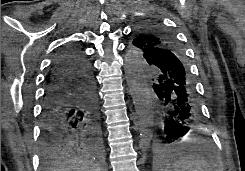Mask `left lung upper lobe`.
<instances>
[{
	"mask_svg": "<svg viewBox=\"0 0 245 171\" xmlns=\"http://www.w3.org/2000/svg\"><path fill=\"white\" fill-rule=\"evenodd\" d=\"M131 40L132 45L137 48L139 54L143 56L148 63V58L164 50L176 51L182 55L180 46L175 37L156 23L144 22L139 24ZM152 68L154 69L153 66Z\"/></svg>",
	"mask_w": 245,
	"mask_h": 171,
	"instance_id": "left-lung-upper-lobe-1",
	"label": "left lung upper lobe"
}]
</instances>
